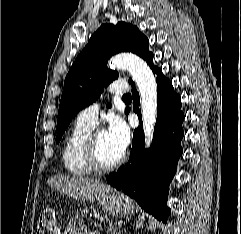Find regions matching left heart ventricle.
<instances>
[{"label": "left heart ventricle", "mask_w": 241, "mask_h": 234, "mask_svg": "<svg viewBox=\"0 0 241 234\" xmlns=\"http://www.w3.org/2000/svg\"><path fill=\"white\" fill-rule=\"evenodd\" d=\"M96 140L98 144L99 157L103 163H112L122 155V153L110 141L106 131H98Z\"/></svg>", "instance_id": "1"}]
</instances>
